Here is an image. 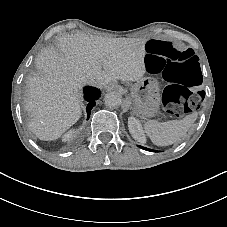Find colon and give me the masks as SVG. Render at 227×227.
<instances>
[{"label": "colon", "mask_w": 227, "mask_h": 227, "mask_svg": "<svg viewBox=\"0 0 227 227\" xmlns=\"http://www.w3.org/2000/svg\"><path fill=\"white\" fill-rule=\"evenodd\" d=\"M148 70L159 74L167 83L163 91V105L171 115L196 109L201 96L193 88L202 81L199 58L193 50H179L166 40L151 39L145 46Z\"/></svg>", "instance_id": "obj_1"}]
</instances>
